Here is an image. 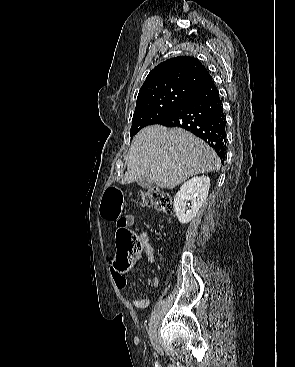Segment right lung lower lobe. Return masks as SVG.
Returning a JSON list of instances; mask_svg holds the SVG:
<instances>
[{
    "instance_id": "98d812e1",
    "label": "right lung lower lobe",
    "mask_w": 295,
    "mask_h": 367,
    "mask_svg": "<svg viewBox=\"0 0 295 367\" xmlns=\"http://www.w3.org/2000/svg\"><path fill=\"white\" fill-rule=\"evenodd\" d=\"M157 124L190 131L207 142L224 162L226 122L214 82L193 92L179 107Z\"/></svg>"
}]
</instances>
